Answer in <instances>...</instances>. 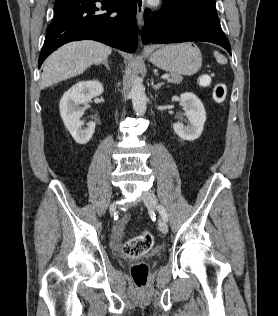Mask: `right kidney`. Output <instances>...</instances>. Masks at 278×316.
I'll use <instances>...</instances> for the list:
<instances>
[{"mask_svg":"<svg viewBox=\"0 0 278 316\" xmlns=\"http://www.w3.org/2000/svg\"><path fill=\"white\" fill-rule=\"evenodd\" d=\"M103 91L104 87L98 80L82 81L73 85L60 100L61 118L78 144L88 143L95 130L93 121H90L86 128L83 127L84 122L80 118L85 109L80 108L79 105L86 104L93 97L101 95Z\"/></svg>","mask_w":278,"mask_h":316,"instance_id":"right-kidney-1","label":"right kidney"}]
</instances>
